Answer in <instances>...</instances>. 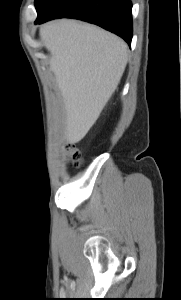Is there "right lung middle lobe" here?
<instances>
[{
    "label": "right lung middle lobe",
    "instance_id": "obj_1",
    "mask_svg": "<svg viewBox=\"0 0 181 300\" xmlns=\"http://www.w3.org/2000/svg\"><path fill=\"white\" fill-rule=\"evenodd\" d=\"M59 0H36L35 6L38 16L44 15Z\"/></svg>",
    "mask_w": 181,
    "mask_h": 300
}]
</instances>
